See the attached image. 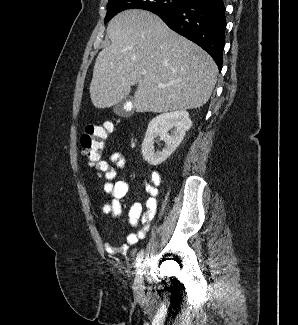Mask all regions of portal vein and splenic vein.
<instances>
[{
  "instance_id": "portal-vein-and-splenic-vein-1",
  "label": "portal vein and splenic vein",
  "mask_w": 298,
  "mask_h": 325,
  "mask_svg": "<svg viewBox=\"0 0 298 325\" xmlns=\"http://www.w3.org/2000/svg\"><path fill=\"white\" fill-rule=\"evenodd\" d=\"M143 74H145V72H143ZM160 84H162V82H160Z\"/></svg>"
}]
</instances>
